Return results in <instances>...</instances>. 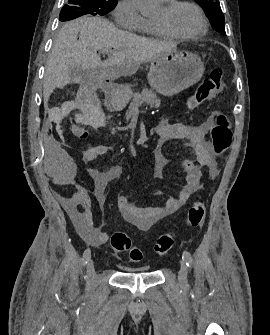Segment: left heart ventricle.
Masks as SVG:
<instances>
[{
  "label": "left heart ventricle",
  "mask_w": 270,
  "mask_h": 335,
  "mask_svg": "<svg viewBox=\"0 0 270 335\" xmlns=\"http://www.w3.org/2000/svg\"><path fill=\"white\" fill-rule=\"evenodd\" d=\"M153 20L181 34H192L201 29L199 15L191 6L185 4L178 6L172 13H167L163 6Z\"/></svg>",
  "instance_id": "b2bd125f"
}]
</instances>
